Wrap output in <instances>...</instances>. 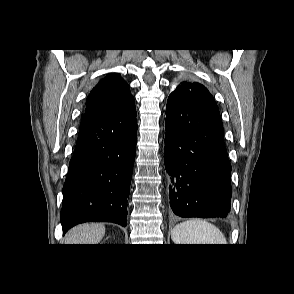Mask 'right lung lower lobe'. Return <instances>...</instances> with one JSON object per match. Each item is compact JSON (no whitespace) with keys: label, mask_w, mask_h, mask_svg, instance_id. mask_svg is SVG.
Returning <instances> with one entry per match:
<instances>
[{"label":"right lung lower lobe","mask_w":294,"mask_h":294,"mask_svg":"<svg viewBox=\"0 0 294 294\" xmlns=\"http://www.w3.org/2000/svg\"><path fill=\"white\" fill-rule=\"evenodd\" d=\"M137 137L134 99L82 117L63 187V234L84 222L127 225V198Z\"/></svg>","instance_id":"1"}]
</instances>
